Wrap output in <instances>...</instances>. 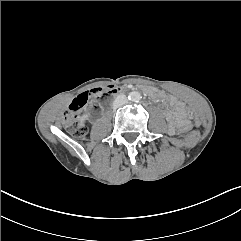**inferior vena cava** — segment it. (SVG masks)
I'll return each mask as SVG.
<instances>
[{"instance_id": "1", "label": "inferior vena cava", "mask_w": 241, "mask_h": 241, "mask_svg": "<svg viewBox=\"0 0 241 241\" xmlns=\"http://www.w3.org/2000/svg\"><path fill=\"white\" fill-rule=\"evenodd\" d=\"M127 102H128V100L125 95H123V94L118 95L113 102V108L116 109L118 107H121V106L125 105Z\"/></svg>"}]
</instances>
